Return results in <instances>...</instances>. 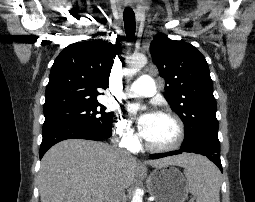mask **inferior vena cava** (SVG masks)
I'll list each match as a JSON object with an SVG mask.
<instances>
[{
	"label": "inferior vena cava",
	"mask_w": 255,
	"mask_h": 202,
	"mask_svg": "<svg viewBox=\"0 0 255 202\" xmlns=\"http://www.w3.org/2000/svg\"><path fill=\"white\" fill-rule=\"evenodd\" d=\"M120 153L128 155L127 151L119 150ZM105 202H125L124 188L114 185L110 187L105 195Z\"/></svg>",
	"instance_id": "inferior-vena-cava-1"
}]
</instances>
